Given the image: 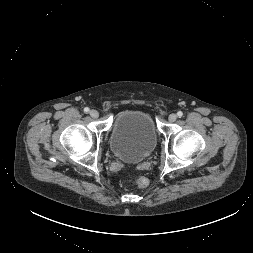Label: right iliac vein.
I'll return each mask as SVG.
<instances>
[{
  "instance_id": "right-iliac-vein-1",
  "label": "right iliac vein",
  "mask_w": 253,
  "mask_h": 253,
  "mask_svg": "<svg viewBox=\"0 0 253 253\" xmlns=\"http://www.w3.org/2000/svg\"><path fill=\"white\" fill-rule=\"evenodd\" d=\"M89 114L92 118H97L99 116L98 111L94 109L90 110Z\"/></svg>"
}]
</instances>
